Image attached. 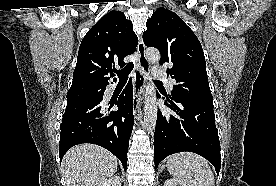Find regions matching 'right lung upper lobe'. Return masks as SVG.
I'll return each mask as SVG.
<instances>
[{"instance_id":"cb5924a9","label":"right lung upper lobe","mask_w":276,"mask_h":186,"mask_svg":"<svg viewBox=\"0 0 276 186\" xmlns=\"http://www.w3.org/2000/svg\"><path fill=\"white\" fill-rule=\"evenodd\" d=\"M137 36L124 13L110 11L84 36L73 73L70 89L81 86L108 85L116 72L115 66L124 67V57L132 54ZM116 80V79H114Z\"/></svg>"}]
</instances>
